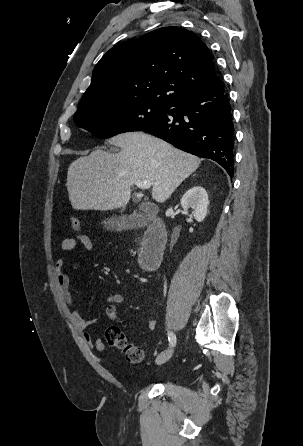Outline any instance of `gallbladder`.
<instances>
[{
    "label": "gallbladder",
    "instance_id": "bac80fb5",
    "mask_svg": "<svg viewBox=\"0 0 303 446\" xmlns=\"http://www.w3.org/2000/svg\"><path fill=\"white\" fill-rule=\"evenodd\" d=\"M144 221L145 220H144V218L142 216L137 215V214H132V215H130L128 217L123 216V217H120L118 219L111 218V219H109L107 221H104V224L107 226L108 229L110 227H112V228H116V229L119 230V229H122V228H124L125 226H128V225L133 226V225H136V224H139V223H144Z\"/></svg>",
    "mask_w": 303,
    "mask_h": 446
}]
</instances>
